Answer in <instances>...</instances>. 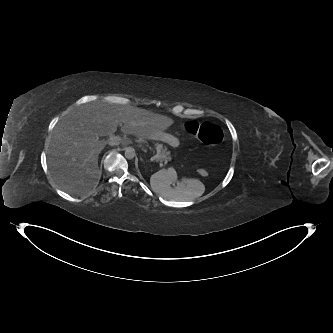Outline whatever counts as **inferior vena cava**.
<instances>
[{"mask_svg": "<svg viewBox=\"0 0 333 333\" xmlns=\"http://www.w3.org/2000/svg\"><path fill=\"white\" fill-rule=\"evenodd\" d=\"M109 145H111V146H116V145H119V143H118V142H115V141H110V142H109Z\"/></svg>", "mask_w": 333, "mask_h": 333, "instance_id": "1", "label": "inferior vena cava"}]
</instances>
